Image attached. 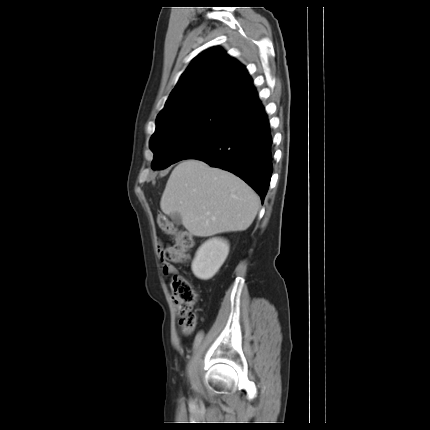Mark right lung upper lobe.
I'll use <instances>...</instances> for the list:
<instances>
[{
	"label": "right lung upper lobe",
	"instance_id": "1",
	"mask_svg": "<svg viewBox=\"0 0 430 430\" xmlns=\"http://www.w3.org/2000/svg\"><path fill=\"white\" fill-rule=\"evenodd\" d=\"M206 100H224L237 115L258 101L245 67L220 47L210 48L194 58L157 120Z\"/></svg>",
	"mask_w": 430,
	"mask_h": 430
}]
</instances>
